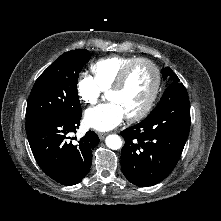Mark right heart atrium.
I'll list each match as a JSON object with an SVG mask.
<instances>
[{
  "instance_id": "right-heart-atrium-1",
  "label": "right heart atrium",
  "mask_w": 221,
  "mask_h": 221,
  "mask_svg": "<svg viewBox=\"0 0 221 221\" xmlns=\"http://www.w3.org/2000/svg\"><path fill=\"white\" fill-rule=\"evenodd\" d=\"M76 90L80 101L86 105L97 103L102 93L93 78L88 75H81L79 77Z\"/></svg>"
}]
</instances>
